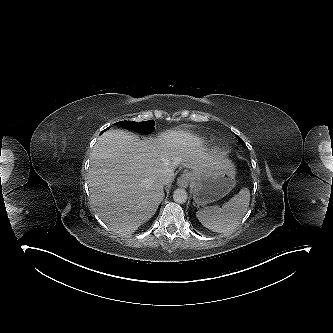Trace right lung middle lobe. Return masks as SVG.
<instances>
[{
    "mask_svg": "<svg viewBox=\"0 0 333 333\" xmlns=\"http://www.w3.org/2000/svg\"><path fill=\"white\" fill-rule=\"evenodd\" d=\"M116 125L122 126L134 130L142 134H149L154 130L155 122L154 120L144 121V122H134V121H121L117 122ZM108 127L107 129H109ZM105 129V131L107 130Z\"/></svg>",
    "mask_w": 333,
    "mask_h": 333,
    "instance_id": "obj_1",
    "label": "right lung middle lobe"
}]
</instances>
